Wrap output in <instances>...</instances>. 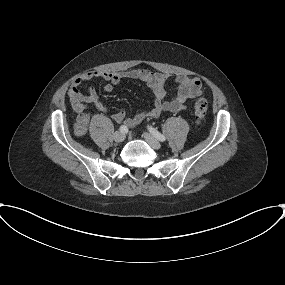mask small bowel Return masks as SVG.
<instances>
[{
    "label": "small bowel",
    "instance_id": "small-bowel-1",
    "mask_svg": "<svg viewBox=\"0 0 285 285\" xmlns=\"http://www.w3.org/2000/svg\"><path fill=\"white\" fill-rule=\"evenodd\" d=\"M172 75L161 72H153L149 69H131L126 71H91L75 79L68 91V97L72 108L77 112V123L85 125L90 119L86 112L87 104H91L101 112H106V105L100 100L96 91L88 87L82 91L87 81L101 78L107 83L104 86L106 92H111L113 86L125 79L141 80L147 84L154 96L153 107L147 111H141L133 117H127L124 111H117L111 115L117 123H123L127 128L134 127L148 117L157 118L163 112H178L185 108V102L198 96L202 83L197 77L188 75H175V95L167 99L166 84Z\"/></svg>",
    "mask_w": 285,
    "mask_h": 285
}]
</instances>
